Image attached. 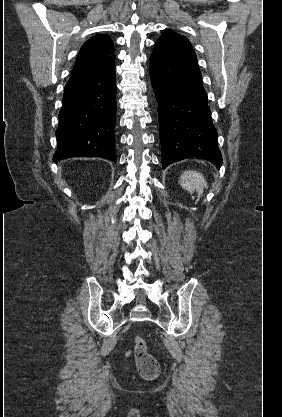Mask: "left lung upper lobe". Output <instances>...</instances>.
Wrapping results in <instances>:
<instances>
[{"mask_svg": "<svg viewBox=\"0 0 282 417\" xmlns=\"http://www.w3.org/2000/svg\"><path fill=\"white\" fill-rule=\"evenodd\" d=\"M162 41H169V42H178L185 45H190V42L188 39H186L184 36H180L178 34H175L172 30L166 29L163 33V35L159 38L157 42Z\"/></svg>", "mask_w": 282, "mask_h": 417, "instance_id": "obj_1", "label": "left lung upper lobe"}]
</instances>
